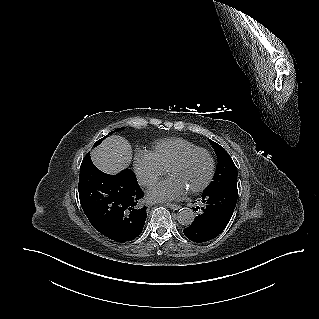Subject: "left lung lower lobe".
Returning a JSON list of instances; mask_svg holds the SVG:
<instances>
[{"instance_id":"1","label":"left lung lower lobe","mask_w":319,"mask_h":319,"mask_svg":"<svg viewBox=\"0 0 319 319\" xmlns=\"http://www.w3.org/2000/svg\"><path fill=\"white\" fill-rule=\"evenodd\" d=\"M238 197L237 185L214 191H204L197 200L200 211L193 223L184 229V235L193 242H206L217 237L227 226Z\"/></svg>"}]
</instances>
